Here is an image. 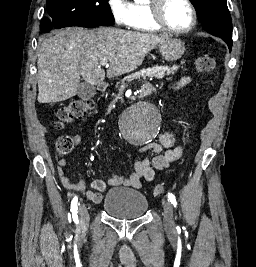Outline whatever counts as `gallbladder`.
Listing matches in <instances>:
<instances>
[{
  "label": "gallbladder",
  "mask_w": 256,
  "mask_h": 267,
  "mask_svg": "<svg viewBox=\"0 0 256 267\" xmlns=\"http://www.w3.org/2000/svg\"><path fill=\"white\" fill-rule=\"evenodd\" d=\"M95 94L96 86H91V84H87V82L79 84L77 96L78 98H81V100H91V98H94Z\"/></svg>",
  "instance_id": "bac80fb5"
}]
</instances>
